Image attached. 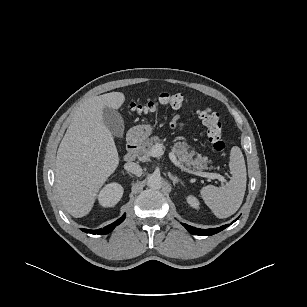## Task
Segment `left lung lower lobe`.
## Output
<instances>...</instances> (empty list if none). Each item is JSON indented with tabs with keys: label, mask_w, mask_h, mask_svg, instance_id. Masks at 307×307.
Instances as JSON below:
<instances>
[{
	"label": "left lung lower lobe",
	"mask_w": 307,
	"mask_h": 307,
	"mask_svg": "<svg viewBox=\"0 0 307 307\" xmlns=\"http://www.w3.org/2000/svg\"><path fill=\"white\" fill-rule=\"evenodd\" d=\"M234 222L235 220L232 223ZM183 225L190 233L195 234V235H203V236L204 235L210 236V235L216 234L222 231L223 229H225L226 227H228V225H223L221 227L212 228V229H198V228L189 226L187 224H183Z\"/></svg>",
	"instance_id": "left-lung-lower-lobe-1"
}]
</instances>
